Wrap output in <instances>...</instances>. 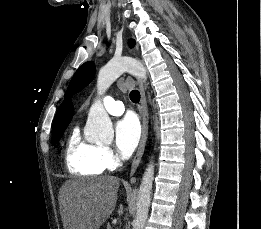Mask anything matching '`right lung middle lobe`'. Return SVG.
Returning <instances> with one entry per match:
<instances>
[{"label": "right lung middle lobe", "instance_id": "obj_1", "mask_svg": "<svg viewBox=\"0 0 261 229\" xmlns=\"http://www.w3.org/2000/svg\"><path fill=\"white\" fill-rule=\"evenodd\" d=\"M68 124L53 125L52 130V145H55L62 137Z\"/></svg>", "mask_w": 261, "mask_h": 229}]
</instances>
